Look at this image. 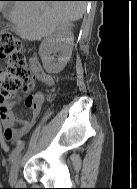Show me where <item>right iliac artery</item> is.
<instances>
[{
  "label": "right iliac artery",
  "mask_w": 137,
  "mask_h": 189,
  "mask_svg": "<svg viewBox=\"0 0 137 189\" xmlns=\"http://www.w3.org/2000/svg\"><path fill=\"white\" fill-rule=\"evenodd\" d=\"M22 148H23V145H20V146L16 147V148L13 150V152H12V154L10 155V158H9V160H10L11 163H12L13 160L20 154Z\"/></svg>",
  "instance_id": "82829eb1"
}]
</instances>
